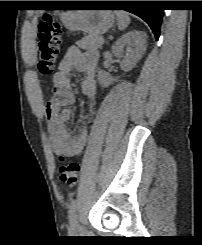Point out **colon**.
Returning <instances> with one entry per match:
<instances>
[{
	"mask_svg": "<svg viewBox=\"0 0 202 245\" xmlns=\"http://www.w3.org/2000/svg\"><path fill=\"white\" fill-rule=\"evenodd\" d=\"M61 26L51 16L46 15L38 24V71L42 76H50L54 70L59 56L62 39ZM61 164L58 168L60 179L69 186L78 184L81 167L77 160L66 161L60 155Z\"/></svg>",
	"mask_w": 202,
	"mask_h": 245,
	"instance_id": "1",
	"label": "colon"
}]
</instances>
